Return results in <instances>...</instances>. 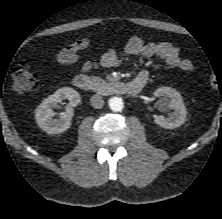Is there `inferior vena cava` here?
<instances>
[{"instance_id":"inferior-vena-cava-1","label":"inferior vena cava","mask_w":222,"mask_h":219,"mask_svg":"<svg viewBox=\"0 0 222 219\" xmlns=\"http://www.w3.org/2000/svg\"><path fill=\"white\" fill-rule=\"evenodd\" d=\"M92 107L100 109L104 106V100L100 95H93L90 99Z\"/></svg>"}]
</instances>
